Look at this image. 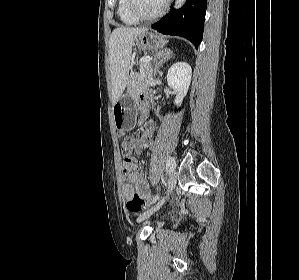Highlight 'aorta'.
<instances>
[{
    "instance_id": "aorta-1",
    "label": "aorta",
    "mask_w": 299,
    "mask_h": 280,
    "mask_svg": "<svg viewBox=\"0 0 299 280\" xmlns=\"http://www.w3.org/2000/svg\"><path fill=\"white\" fill-rule=\"evenodd\" d=\"M186 0H175V8H181L185 4Z\"/></svg>"
}]
</instances>
